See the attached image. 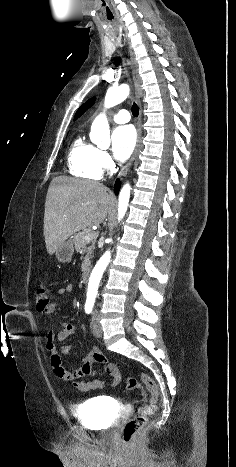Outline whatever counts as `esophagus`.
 <instances>
[{
	"label": "esophagus",
	"mask_w": 236,
	"mask_h": 467,
	"mask_svg": "<svg viewBox=\"0 0 236 467\" xmlns=\"http://www.w3.org/2000/svg\"><path fill=\"white\" fill-rule=\"evenodd\" d=\"M129 54H130V65L132 69V76H133V81H134V87H135V96L137 99V102L140 106V113H139V118L137 122V144L135 147V150L129 160V162L121 169L118 178L123 176L131 167L133 161L135 160L137 153L139 151L140 143H141V122H142V108H141V98H142V88H141V77L139 75V68L137 61L132 53V51L129 49Z\"/></svg>",
	"instance_id": "obj_1"
}]
</instances>
